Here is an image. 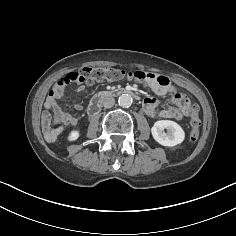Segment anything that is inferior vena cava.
I'll return each instance as SVG.
<instances>
[{"mask_svg":"<svg viewBox=\"0 0 236 236\" xmlns=\"http://www.w3.org/2000/svg\"><path fill=\"white\" fill-rule=\"evenodd\" d=\"M102 104L105 108H111L115 104V99L111 96L105 97Z\"/></svg>","mask_w":236,"mask_h":236,"instance_id":"602c4592","label":"inferior vena cava"}]
</instances>
